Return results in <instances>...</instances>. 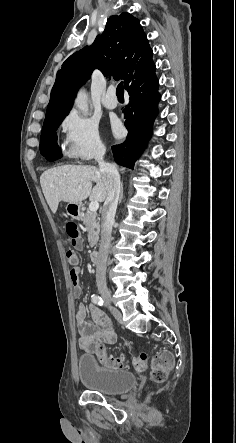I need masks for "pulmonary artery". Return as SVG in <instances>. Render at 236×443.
Here are the masks:
<instances>
[{"label":"pulmonary artery","mask_w":236,"mask_h":443,"mask_svg":"<svg viewBox=\"0 0 236 443\" xmlns=\"http://www.w3.org/2000/svg\"><path fill=\"white\" fill-rule=\"evenodd\" d=\"M115 91H116V89L113 85H111L107 89L106 94L103 96V98L101 100L104 107H106L108 109H114L117 107V104H118L117 101H112V100L108 99V96L114 94Z\"/></svg>","instance_id":"e3ab8cb5"}]
</instances>
